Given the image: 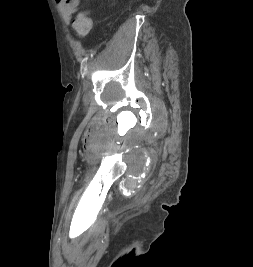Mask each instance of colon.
<instances>
[{
  "instance_id": "colon-1",
  "label": "colon",
  "mask_w": 253,
  "mask_h": 267,
  "mask_svg": "<svg viewBox=\"0 0 253 267\" xmlns=\"http://www.w3.org/2000/svg\"><path fill=\"white\" fill-rule=\"evenodd\" d=\"M75 32L80 36H86L92 28V20L87 12H80L72 22Z\"/></svg>"
}]
</instances>
